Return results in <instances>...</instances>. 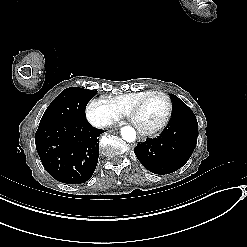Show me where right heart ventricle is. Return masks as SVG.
Masks as SVG:
<instances>
[{
    "label": "right heart ventricle",
    "instance_id": "obj_1",
    "mask_svg": "<svg viewBox=\"0 0 247 247\" xmlns=\"http://www.w3.org/2000/svg\"><path fill=\"white\" fill-rule=\"evenodd\" d=\"M151 90H144L140 92H133V93H128L125 94L121 97L117 98H111V97H103L113 105V106H134V103L139 101V100H145L147 97V94Z\"/></svg>",
    "mask_w": 247,
    "mask_h": 247
}]
</instances>
